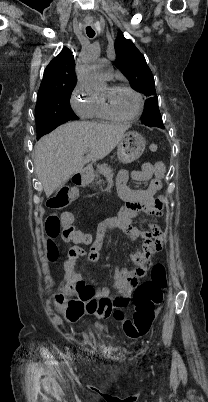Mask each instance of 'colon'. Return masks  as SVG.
<instances>
[{"mask_svg":"<svg viewBox=\"0 0 208 402\" xmlns=\"http://www.w3.org/2000/svg\"><path fill=\"white\" fill-rule=\"evenodd\" d=\"M158 147L155 143L147 146L149 153H155ZM46 233L45 240L52 238H62L64 241L73 240L74 246L68 250L66 260L73 263L78 259V255H85L86 249L79 246L77 231L72 229V216L68 213L62 216L55 215L45 220ZM45 253L50 258V263H55V259L61 254V249L56 247L55 242L47 244ZM167 286V271L162 263H156L151 269V278L140 284L133 294V304L135 311L133 319L126 318L121 307L127 304V300L122 297L93 298L83 302L81 297H74V290L70 282H63L62 293H55L54 299L57 300L59 314H70L72 317H80L85 312L98 313L100 315H113L122 324L126 336L138 338L145 335L151 328L156 317V309L163 301V291ZM83 303V304H82ZM71 306L75 309L71 311Z\"/></svg>","mask_w":208,"mask_h":402,"instance_id":"5ec220e1","label":"colon"}]
</instances>
